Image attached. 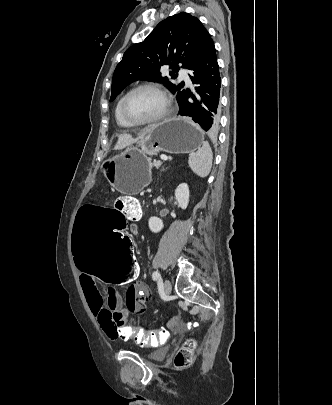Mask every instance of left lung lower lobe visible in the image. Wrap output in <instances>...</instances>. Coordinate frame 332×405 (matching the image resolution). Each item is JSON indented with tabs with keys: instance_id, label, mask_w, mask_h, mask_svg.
Returning <instances> with one entry per match:
<instances>
[{
	"instance_id": "0a47b994",
	"label": "left lung lower lobe",
	"mask_w": 332,
	"mask_h": 405,
	"mask_svg": "<svg viewBox=\"0 0 332 405\" xmlns=\"http://www.w3.org/2000/svg\"><path fill=\"white\" fill-rule=\"evenodd\" d=\"M193 92L185 90L178 96L179 114L189 116L205 131L215 133L219 126L221 78L214 44L192 68Z\"/></svg>"
}]
</instances>
